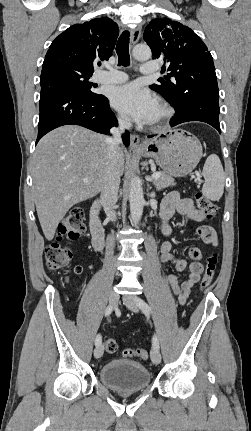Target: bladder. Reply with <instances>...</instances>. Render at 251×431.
<instances>
[{
  "instance_id": "1",
  "label": "bladder",
  "mask_w": 251,
  "mask_h": 431,
  "mask_svg": "<svg viewBox=\"0 0 251 431\" xmlns=\"http://www.w3.org/2000/svg\"><path fill=\"white\" fill-rule=\"evenodd\" d=\"M100 380L120 393H131L146 388L151 380L150 371L143 364L132 360H111L99 370Z\"/></svg>"
}]
</instances>
